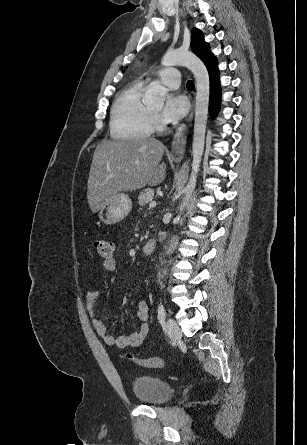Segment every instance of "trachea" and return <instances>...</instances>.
Returning a JSON list of instances; mask_svg holds the SVG:
<instances>
[{"label":"trachea","mask_w":307,"mask_h":445,"mask_svg":"<svg viewBox=\"0 0 307 445\" xmlns=\"http://www.w3.org/2000/svg\"><path fill=\"white\" fill-rule=\"evenodd\" d=\"M186 85H187L188 90H193L194 89V83H193L192 80H188Z\"/></svg>","instance_id":"trachea-1"}]
</instances>
